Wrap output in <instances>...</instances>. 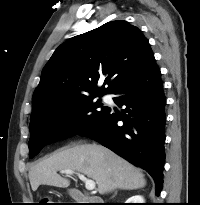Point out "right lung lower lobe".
I'll list each match as a JSON object with an SVG mask.
<instances>
[{
	"label": "right lung lower lobe",
	"mask_w": 200,
	"mask_h": 205,
	"mask_svg": "<svg viewBox=\"0 0 200 205\" xmlns=\"http://www.w3.org/2000/svg\"><path fill=\"white\" fill-rule=\"evenodd\" d=\"M112 94L122 112L110 108L93 125L79 134L96 140L132 164L145 169L154 179L156 195L163 185L165 161V103L161 72L155 60ZM122 121L123 124L119 123Z\"/></svg>",
	"instance_id": "right-lung-lower-lobe-1"
}]
</instances>
